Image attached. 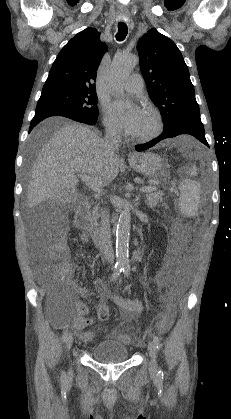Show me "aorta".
<instances>
[{
  "label": "aorta",
  "instance_id": "obj_1",
  "mask_svg": "<svg viewBox=\"0 0 231 419\" xmlns=\"http://www.w3.org/2000/svg\"><path fill=\"white\" fill-rule=\"evenodd\" d=\"M138 63V57L134 55L121 54L114 57L109 79L117 93L120 92L119 85L130 75ZM131 227V214L128 210L120 213L116 229V257L120 267H129V237Z\"/></svg>",
  "mask_w": 231,
  "mask_h": 419
}]
</instances>
